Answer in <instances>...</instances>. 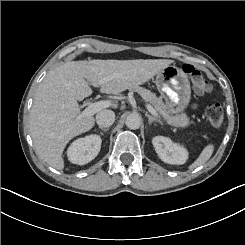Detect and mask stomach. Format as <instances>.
<instances>
[{
	"mask_svg": "<svg viewBox=\"0 0 245 245\" xmlns=\"http://www.w3.org/2000/svg\"><path fill=\"white\" fill-rule=\"evenodd\" d=\"M160 94L172 106L182 110L190 99V83L182 69L168 64L155 76Z\"/></svg>",
	"mask_w": 245,
	"mask_h": 245,
	"instance_id": "stomach-1",
	"label": "stomach"
}]
</instances>
